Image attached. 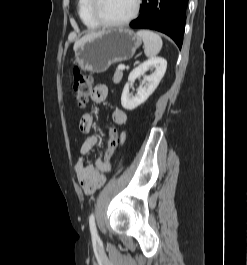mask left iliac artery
I'll use <instances>...</instances> for the list:
<instances>
[{
    "label": "left iliac artery",
    "instance_id": "44dca946",
    "mask_svg": "<svg viewBox=\"0 0 247 265\" xmlns=\"http://www.w3.org/2000/svg\"><path fill=\"white\" fill-rule=\"evenodd\" d=\"M89 226H90V231H91L92 237L94 239H97L98 234H97L96 225H95L94 213H92L89 217Z\"/></svg>",
    "mask_w": 247,
    "mask_h": 265
}]
</instances>
